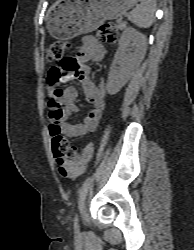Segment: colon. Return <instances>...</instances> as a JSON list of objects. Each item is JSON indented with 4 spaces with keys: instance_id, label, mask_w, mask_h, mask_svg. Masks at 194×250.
Segmentation results:
<instances>
[{
    "instance_id": "5ec220e1",
    "label": "colon",
    "mask_w": 194,
    "mask_h": 250,
    "mask_svg": "<svg viewBox=\"0 0 194 250\" xmlns=\"http://www.w3.org/2000/svg\"><path fill=\"white\" fill-rule=\"evenodd\" d=\"M118 30L112 23H105L99 26L97 29V37L107 43H115L118 39ZM70 48L68 41H54L46 47V57L49 61H64V55ZM64 80V77L55 70H51L48 75V84L53 88V92L50 94L52 99H59L62 95L60 86ZM50 100V101H51ZM58 106H61V102H57ZM52 150L55 160L59 166V172L62 176H67L70 170L67 167V163L76 159L79 155L78 150L71 146L69 141L60 133L52 135Z\"/></svg>"
}]
</instances>
